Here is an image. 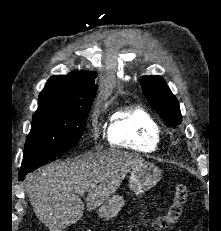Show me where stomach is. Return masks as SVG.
<instances>
[{
	"label": "stomach",
	"mask_w": 221,
	"mask_h": 231,
	"mask_svg": "<svg viewBox=\"0 0 221 231\" xmlns=\"http://www.w3.org/2000/svg\"><path fill=\"white\" fill-rule=\"evenodd\" d=\"M161 179L160 169L153 163L143 162L130 172L129 187L135 194H141L155 186ZM124 206V199L114 195L106 200L98 209L100 218L109 219L118 214Z\"/></svg>",
	"instance_id": "stomach-1"
}]
</instances>
